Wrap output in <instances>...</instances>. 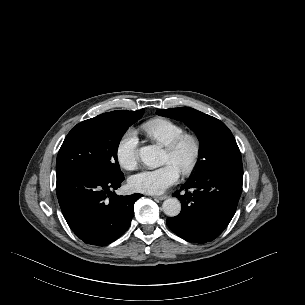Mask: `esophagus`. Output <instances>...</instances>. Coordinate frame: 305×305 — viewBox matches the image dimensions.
Here are the masks:
<instances>
[{"label":"esophagus","instance_id":"esophagus-1","mask_svg":"<svg viewBox=\"0 0 305 305\" xmlns=\"http://www.w3.org/2000/svg\"><path fill=\"white\" fill-rule=\"evenodd\" d=\"M155 199H158V200H165L167 198L166 195H162V196H154Z\"/></svg>","mask_w":305,"mask_h":305}]
</instances>
